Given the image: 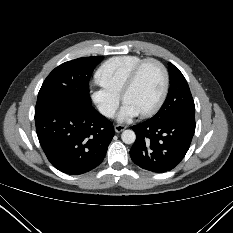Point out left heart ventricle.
Wrapping results in <instances>:
<instances>
[{
	"label": "left heart ventricle",
	"instance_id": "obj_1",
	"mask_svg": "<svg viewBox=\"0 0 233 233\" xmlns=\"http://www.w3.org/2000/svg\"><path fill=\"white\" fill-rule=\"evenodd\" d=\"M162 88L160 68L155 63H148L141 70L134 87L126 94L125 102L142 113L156 104Z\"/></svg>",
	"mask_w": 233,
	"mask_h": 233
}]
</instances>
